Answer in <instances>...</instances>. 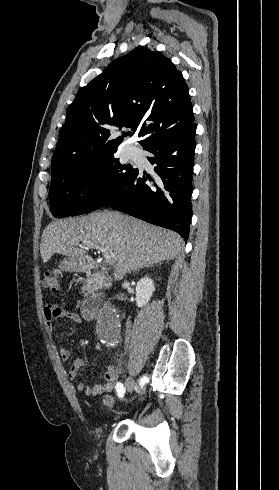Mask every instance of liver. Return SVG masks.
I'll return each instance as SVG.
<instances>
[{
    "label": "liver",
    "instance_id": "6515ba94",
    "mask_svg": "<svg viewBox=\"0 0 279 490\" xmlns=\"http://www.w3.org/2000/svg\"><path fill=\"white\" fill-rule=\"evenodd\" d=\"M84 242L100 246L105 256L107 252L114 254L117 262L114 276L118 280H123L128 272H139L164 260H174L184 248L176 232L104 210L48 224L40 244L43 264L49 262L53 254H62L77 260L82 272L87 258Z\"/></svg>",
    "mask_w": 279,
    "mask_h": 490
}]
</instances>
